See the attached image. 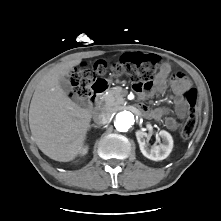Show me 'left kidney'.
I'll return each mask as SVG.
<instances>
[{"instance_id": "left-kidney-1", "label": "left kidney", "mask_w": 221, "mask_h": 221, "mask_svg": "<svg viewBox=\"0 0 221 221\" xmlns=\"http://www.w3.org/2000/svg\"><path fill=\"white\" fill-rule=\"evenodd\" d=\"M158 135L163 139V143L149 148L145 141L147 133L143 131L136 132V138L142 154L153 161H160L167 158L173 148L172 136L167 131L161 130Z\"/></svg>"}]
</instances>
